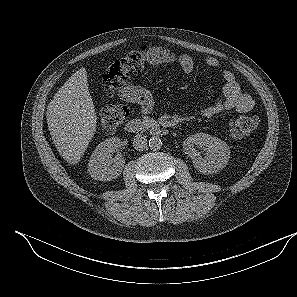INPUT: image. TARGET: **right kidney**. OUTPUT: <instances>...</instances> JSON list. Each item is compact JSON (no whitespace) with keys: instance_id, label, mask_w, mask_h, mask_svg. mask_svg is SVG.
Instances as JSON below:
<instances>
[{"instance_id":"right-kidney-1","label":"right kidney","mask_w":297,"mask_h":297,"mask_svg":"<svg viewBox=\"0 0 297 297\" xmlns=\"http://www.w3.org/2000/svg\"><path fill=\"white\" fill-rule=\"evenodd\" d=\"M120 146L121 140L112 137L104 140L96 147L88 164V172L93 179L110 181L119 177L125 160L119 153L112 158L111 153L115 152Z\"/></svg>"}]
</instances>
